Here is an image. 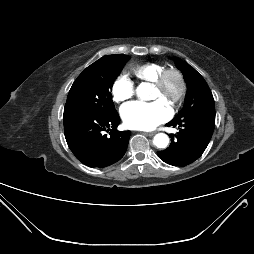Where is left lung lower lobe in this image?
<instances>
[{
    "instance_id": "1",
    "label": "left lung lower lobe",
    "mask_w": 254,
    "mask_h": 254,
    "mask_svg": "<svg viewBox=\"0 0 254 254\" xmlns=\"http://www.w3.org/2000/svg\"><path fill=\"white\" fill-rule=\"evenodd\" d=\"M166 125L178 128L179 132L171 134L170 146L157 154L169 165L186 166L197 160L209 144L215 127V109L191 107Z\"/></svg>"
}]
</instances>
